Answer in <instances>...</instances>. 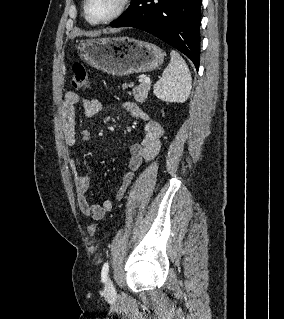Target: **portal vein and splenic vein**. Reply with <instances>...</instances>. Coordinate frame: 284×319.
Instances as JSON below:
<instances>
[{
	"instance_id": "obj_1",
	"label": "portal vein and splenic vein",
	"mask_w": 284,
	"mask_h": 319,
	"mask_svg": "<svg viewBox=\"0 0 284 319\" xmlns=\"http://www.w3.org/2000/svg\"><path fill=\"white\" fill-rule=\"evenodd\" d=\"M144 82H145V83H150V78H149V77H146V78L144 79Z\"/></svg>"
}]
</instances>
